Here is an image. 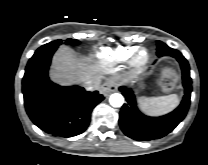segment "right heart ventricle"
<instances>
[{
    "label": "right heart ventricle",
    "mask_w": 208,
    "mask_h": 165,
    "mask_svg": "<svg viewBox=\"0 0 208 165\" xmlns=\"http://www.w3.org/2000/svg\"><path fill=\"white\" fill-rule=\"evenodd\" d=\"M136 52L135 48H123V47H118L115 49L112 48H101L97 56L99 59H101L103 62L110 64L113 62L117 61H122L130 56H132Z\"/></svg>",
    "instance_id": "e07e8e85"
}]
</instances>
